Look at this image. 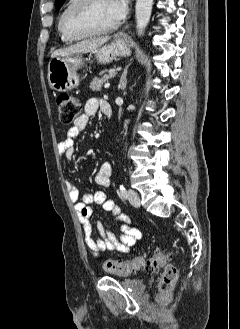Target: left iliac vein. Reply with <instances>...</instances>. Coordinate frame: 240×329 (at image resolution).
<instances>
[{
  "mask_svg": "<svg viewBox=\"0 0 240 329\" xmlns=\"http://www.w3.org/2000/svg\"><path fill=\"white\" fill-rule=\"evenodd\" d=\"M128 200L134 207H140V198L136 191L132 189L128 191Z\"/></svg>",
  "mask_w": 240,
  "mask_h": 329,
  "instance_id": "4c4485c4",
  "label": "left iliac vein"
}]
</instances>
